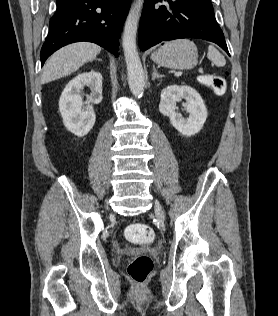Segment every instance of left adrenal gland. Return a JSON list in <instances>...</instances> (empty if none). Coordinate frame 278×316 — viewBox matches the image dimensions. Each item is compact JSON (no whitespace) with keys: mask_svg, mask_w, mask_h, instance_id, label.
Wrapping results in <instances>:
<instances>
[{"mask_svg":"<svg viewBox=\"0 0 278 316\" xmlns=\"http://www.w3.org/2000/svg\"><path fill=\"white\" fill-rule=\"evenodd\" d=\"M164 75L158 74L155 66L153 65V73H152V80L154 81L155 79H162Z\"/></svg>","mask_w":278,"mask_h":316,"instance_id":"a2214340","label":"left adrenal gland"}]
</instances>
